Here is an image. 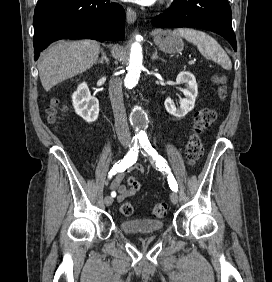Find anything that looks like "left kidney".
Here are the masks:
<instances>
[{
  "mask_svg": "<svg viewBox=\"0 0 272 282\" xmlns=\"http://www.w3.org/2000/svg\"><path fill=\"white\" fill-rule=\"evenodd\" d=\"M176 82L177 84H185L186 89L183 90L185 98L181 100L179 108L174 106L173 100L170 97L165 99L164 105L169 114L182 118L194 108L198 87L195 76L187 71L180 72L177 75Z\"/></svg>",
  "mask_w": 272,
  "mask_h": 282,
  "instance_id": "1",
  "label": "left kidney"
}]
</instances>
